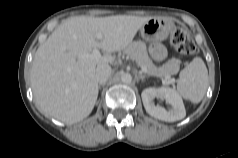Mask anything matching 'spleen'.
<instances>
[{
  "label": "spleen",
  "instance_id": "1",
  "mask_svg": "<svg viewBox=\"0 0 238 158\" xmlns=\"http://www.w3.org/2000/svg\"><path fill=\"white\" fill-rule=\"evenodd\" d=\"M208 70L200 57H195L179 74L177 93L184 99L199 103L207 90Z\"/></svg>",
  "mask_w": 238,
  "mask_h": 158
}]
</instances>
